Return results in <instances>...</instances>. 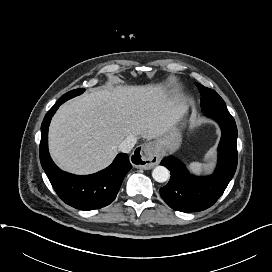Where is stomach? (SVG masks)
Masks as SVG:
<instances>
[{"mask_svg":"<svg viewBox=\"0 0 272 272\" xmlns=\"http://www.w3.org/2000/svg\"><path fill=\"white\" fill-rule=\"evenodd\" d=\"M155 148L162 152H174L178 150L182 143V135L178 129L170 130L153 142Z\"/></svg>","mask_w":272,"mask_h":272,"instance_id":"obj_1","label":"stomach"}]
</instances>
